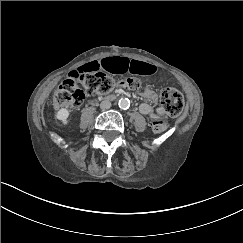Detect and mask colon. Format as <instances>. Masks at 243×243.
<instances>
[{
    "mask_svg": "<svg viewBox=\"0 0 243 243\" xmlns=\"http://www.w3.org/2000/svg\"><path fill=\"white\" fill-rule=\"evenodd\" d=\"M116 86L127 90H138L141 83L136 78H128L121 82H115L100 72H72L69 78L65 79L56 90L53 96L55 108H78L84 101L86 95H107ZM160 102L167 113L171 116H178L184 108L182 94L175 88H166L161 92ZM168 128L165 120L152 122V130L155 133H162Z\"/></svg>",
    "mask_w": 243,
    "mask_h": 243,
    "instance_id": "5ec220e1",
    "label": "colon"
}]
</instances>
